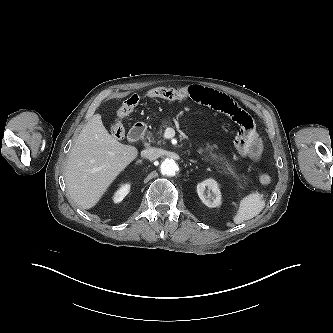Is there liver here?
<instances>
[{
	"instance_id": "liver-1",
	"label": "liver",
	"mask_w": 333,
	"mask_h": 333,
	"mask_svg": "<svg viewBox=\"0 0 333 333\" xmlns=\"http://www.w3.org/2000/svg\"><path fill=\"white\" fill-rule=\"evenodd\" d=\"M138 155L134 146L114 139L95 114L83 127L65 167L67 190L83 209L94 207L111 183Z\"/></svg>"
}]
</instances>
